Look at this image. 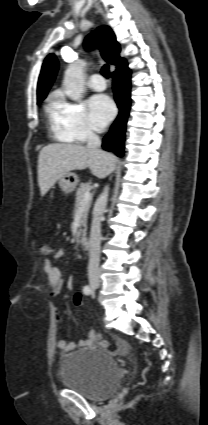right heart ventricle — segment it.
Here are the masks:
<instances>
[{"mask_svg": "<svg viewBox=\"0 0 208 425\" xmlns=\"http://www.w3.org/2000/svg\"><path fill=\"white\" fill-rule=\"evenodd\" d=\"M54 107H55V99H50L49 104L46 107V111L49 117L50 125L52 126L54 130V134L56 138L62 142H71L72 139L65 132H63L57 125Z\"/></svg>", "mask_w": 208, "mask_h": 425, "instance_id": "right-heart-ventricle-1", "label": "right heart ventricle"}]
</instances>
